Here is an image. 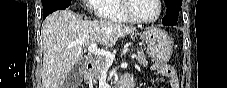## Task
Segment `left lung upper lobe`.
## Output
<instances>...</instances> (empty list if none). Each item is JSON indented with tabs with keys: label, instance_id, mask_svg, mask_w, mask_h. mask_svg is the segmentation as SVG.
Returning <instances> with one entry per match:
<instances>
[{
	"label": "left lung upper lobe",
	"instance_id": "1",
	"mask_svg": "<svg viewBox=\"0 0 227 88\" xmlns=\"http://www.w3.org/2000/svg\"><path fill=\"white\" fill-rule=\"evenodd\" d=\"M166 7H170L175 10H180L182 5V0H164Z\"/></svg>",
	"mask_w": 227,
	"mask_h": 88
}]
</instances>
